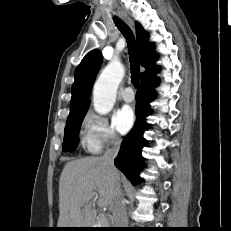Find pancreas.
Returning <instances> with one entry per match:
<instances>
[{
	"label": "pancreas",
	"instance_id": "pancreas-1",
	"mask_svg": "<svg viewBox=\"0 0 231 231\" xmlns=\"http://www.w3.org/2000/svg\"><path fill=\"white\" fill-rule=\"evenodd\" d=\"M104 220H107V218L106 217H102V218H100V222L102 223V224H106L105 222H104Z\"/></svg>",
	"mask_w": 231,
	"mask_h": 231
}]
</instances>
